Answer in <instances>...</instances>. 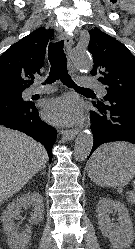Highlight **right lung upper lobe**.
<instances>
[{"label":"right lung upper lobe","instance_id":"1","mask_svg":"<svg viewBox=\"0 0 135 249\" xmlns=\"http://www.w3.org/2000/svg\"><path fill=\"white\" fill-rule=\"evenodd\" d=\"M53 36V30L41 27L0 56V93L22 92L29 87V81L43 66L46 47Z\"/></svg>","mask_w":135,"mask_h":249}]
</instances>
